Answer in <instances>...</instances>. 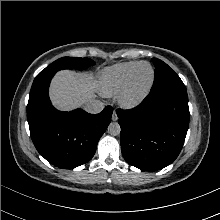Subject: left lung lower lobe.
Listing matches in <instances>:
<instances>
[{
    "instance_id": "left-lung-lower-lobe-1",
    "label": "left lung lower lobe",
    "mask_w": 220,
    "mask_h": 220,
    "mask_svg": "<svg viewBox=\"0 0 220 220\" xmlns=\"http://www.w3.org/2000/svg\"><path fill=\"white\" fill-rule=\"evenodd\" d=\"M124 159L141 170L156 171L179 155L189 126L188 99L151 93L135 108L117 110Z\"/></svg>"
}]
</instances>
